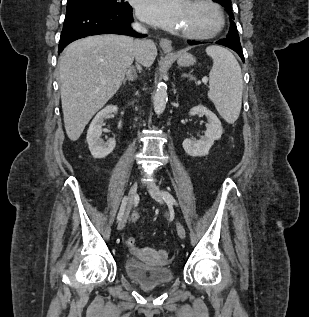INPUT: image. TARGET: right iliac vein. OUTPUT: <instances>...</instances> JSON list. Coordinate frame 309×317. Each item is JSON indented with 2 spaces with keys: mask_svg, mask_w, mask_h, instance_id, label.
I'll return each instance as SVG.
<instances>
[{
  "mask_svg": "<svg viewBox=\"0 0 309 317\" xmlns=\"http://www.w3.org/2000/svg\"><path fill=\"white\" fill-rule=\"evenodd\" d=\"M136 193H137V183L135 182V183H133V185L131 186V188L129 190L127 209H126L125 214L123 215V217L121 218V220L118 223V230H122L127 223L128 214H129L131 206L134 202Z\"/></svg>",
  "mask_w": 309,
  "mask_h": 317,
  "instance_id": "1",
  "label": "right iliac vein"
}]
</instances>
